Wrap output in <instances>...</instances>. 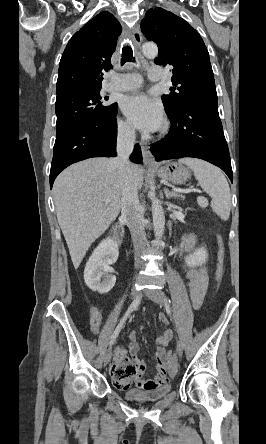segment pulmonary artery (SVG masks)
Returning a JSON list of instances; mask_svg holds the SVG:
<instances>
[{"label":"pulmonary artery","instance_id":"e3ab8cb5","mask_svg":"<svg viewBox=\"0 0 266 444\" xmlns=\"http://www.w3.org/2000/svg\"><path fill=\"white\" fill-rule=\"evenodd\" d=\"M164 71L161 66H150L148 77L152 81L163 78ZM142 78L137 73L112 74V79L108 83V89L112 91H131L140 87Z\"/></svg>","mask_w":266,"mask_h":444}]
</instances>
